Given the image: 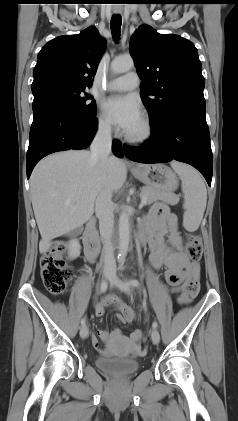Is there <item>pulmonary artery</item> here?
Instances as JSON below:
<instances>
[{
	"mask_svg": "<svg viewBox=\"0 0 238 421\" xmlns=\"http://www.w3.org/2000/svg\"><path fill=\"white\" fill-rule=\"evenodd\" d=\"M139 84V77L136 72H128L120 77L111 80L107 89L111 91H127L135 89Z\"/></svg>",
	"mask_w": 238,
	"mask_h": 421,
	"instance_id": "e3ab8cb5",
	"label": "pulmonary artery"
}]
</instances>
